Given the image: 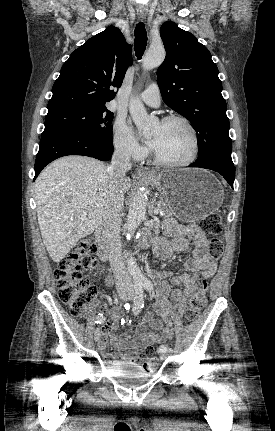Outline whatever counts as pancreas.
<instances>
[{
    "mask_svg": "<svg viewBox=\"0 0 275 431\" xmlns=\"http://www.w3.org/2000/svg\"><path fill=\"white\" fill-rule=\"evenodd\" d=\"M158 209L160 212H163L164 218H169V217L173 216V212L170 210L168 204L166 202H164L163 199H160L158 201Z\"/></svg>",
    "mask_w": 275,
    "mask_h": 431,
    "instance_id": "1",
    "label": "pancreas"
}]
</instances>
